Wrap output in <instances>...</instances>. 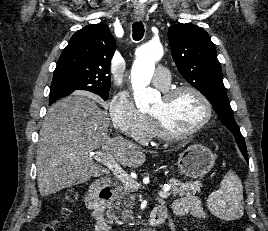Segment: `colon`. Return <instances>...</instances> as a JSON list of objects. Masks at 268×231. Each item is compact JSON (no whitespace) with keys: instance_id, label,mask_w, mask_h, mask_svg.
I'll return each mask as SVG.
<instances>
[{"instance_id":"colon-1","label":"colon","mask_w":268,"mask_h":231,"mask_svg":"<svg viewBox=\"0 0 268 231\" xmlns=\"http://www.w3.org/2000/svg\"><path fill=\"white\" fill-rule=\"evenodd\" d=\"M70 199H75V194L71 193L69 194ZM56 230V224L54 221H46L39 225V231H55ZM246 231H254L252 227H248Z\"/></svg>"}]
</instances>
